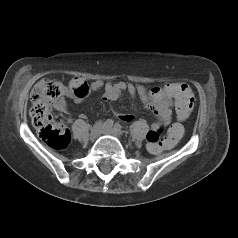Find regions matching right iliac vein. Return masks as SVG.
Returning a JSON list of instances; mask_svg holds the SVG:
<instances>
[{"instance_id": "1", "label": "right iliac vein", "mask_w": 238, "mask_h": 238, "mask_svg": "<svg viewBox=\"0 0 238 238\" xmlns=\"http://www.w3.org/2000/svg\"><path fill=\"white\" fill-rule=\"evenodd\" d=\"M104 126L101 122L96 123L90 132V139L95 140L97 139L100 134L103 132Z\"/></svg>"}]
</instances>
